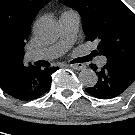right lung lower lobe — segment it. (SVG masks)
Wrapping results in <instances>:
<instances>
[{
    "mask_svg": "<svg viewBox=\"0 0 135 135\" xmlns=\"http://www.w3.org/2000/svg\"><path fill=\"white\" fill-rule=\"evenodd\" d=\"M58 67L41 70L30 65H18L14 68L0 67V88L11 97L30 101L44 95L51 87V75Z\"/></svg>",
    "mask_w": 135,
    "mask_h": 135,
    "instance_id": "98d812e1",
    "label": "right lung lower lobe"
}]
</instances>
